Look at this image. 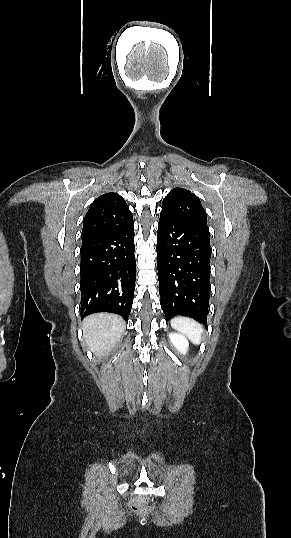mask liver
I'll use <instances>...</instances> for the list:
<instances>
[{
	"mask_svg": "<svg viewBox=\"0 0 291 538\" xmlns=\"http://www.w3.org/2000/svg\"><path fill=\"white\" fill-rule=\"evenodd\" d=\"M121 316L98 313L87 316L83 322L84 343L95 355L107 356L120 341L125 331Z\"/></svg>",
	"mask_w": 291,
	"mask_h": 538,
	"instance_id": "obj_1",
	"label": "liver"
}]
</instances>
